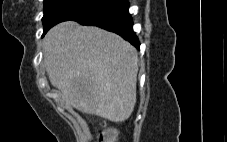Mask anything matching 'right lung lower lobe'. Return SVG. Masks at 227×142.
<instances>
[{
    "instance_id": "obj_1",
    "label": "right lung lower lobe",
    "mask_w": 227,
    "mask_h": 142,
    "mask_svg": "<svg viewBox=\"0 0 227 142\" xmlns=\"http://www.w3.org/2000/svg\"><path fill=\"white\" fill-rule=\"evenodd\" d=\"M129 3L127 0H113L109 5L73 18L83 25H93L122 36L136 48L140 43L133 32L132 18L128 12Z\"/></svg>"
}]
</instances>
